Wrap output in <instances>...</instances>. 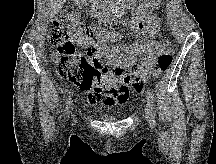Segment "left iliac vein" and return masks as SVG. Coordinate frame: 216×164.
I'll list each match as a JSON object with an SVG mask.
<instances>
[{
	"label": "left iliac vein",
	"instance_id": "obj_1",
	"mask_svg": "<svg viewBox=\"0 0 216 164\" xmlns=\"http://www.w3.org/2000/svg\"><path fill=\"white\" fill-rule=\"evenodd\" d=\"M149 111H150V108L148 106L145 107V114H144V117H145V120L147 121V123L152 126V117L150 116L149 114Z\"/></svg>",
	"mask_w": 216,
	"mask_h": 164
}]
</instances>
